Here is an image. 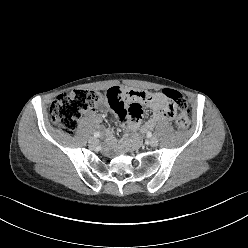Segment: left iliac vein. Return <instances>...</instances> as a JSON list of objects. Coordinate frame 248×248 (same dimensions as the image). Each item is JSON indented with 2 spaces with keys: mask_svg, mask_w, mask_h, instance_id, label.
<instances>
[{
  "mask_svg": "<svg viewBox=\"0 0 248 248\" xmlns=\"http://www.w3.org/2000/svg\"><path fill=\"white\" fill-rule=\"evenodd\" d=\"M149 144L152 147H156L158 145V139L156 137H152L149 139Z\"/></svg>",
  "mask_w": 248,
  "mask_h": 248,
  "instance_id": "1",
  "label": "left iliac vein"
}]
</instances>
